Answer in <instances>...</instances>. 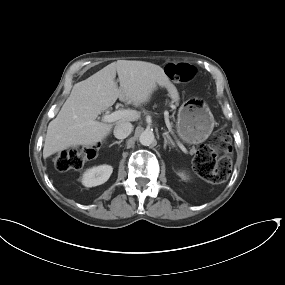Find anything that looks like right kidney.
Here are the masks:
<instances>
[{
	"mask_svg": "<svg viewBox=\"0 0 285 285\" xmlns=\"http://www.w3.org/2000/svg\"><path fill=\"white\" fill-rule=\"evenodd\" d=\"M113 172L110 165H100L88 169L82 177V184L86 187H94L105 183Z\"/></svg>",
	"mask_w": 285,
	"mask_h": 285,
	"instance_id": "right-kidney-1",
	"label": "right kidney"
}]
</instances>
